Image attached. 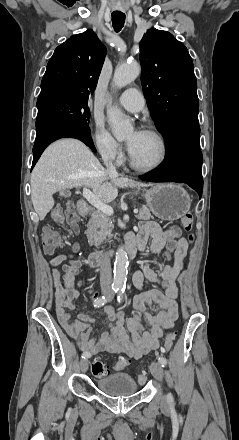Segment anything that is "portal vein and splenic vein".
Segmentation results:
<instances>
[{
	"instance_id": "18ae733b",
	"label": "portal vein and splenic vein",
	"mask_w": 239,
	"mask_h": 440,
	"mask_svg": "<svg viewBox=\"0 0 239 440\" xmlns=\"http://www.w3.org/2000/svg\"><path fill=\"white\" fill-rule=\"evenodd\" d=\"M84 198H86L87 202L91 204V206H94V208H97V210H100V212H103V214H106V216H112L113 214V208L111 206H107V204H104V202H101L97 196H94L88 188H83V194ZM137 209H134L132 212L133 214H138Z\"/></svg>"
}]
</instances>
